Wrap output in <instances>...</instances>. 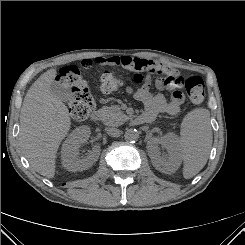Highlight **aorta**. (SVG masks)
<instances>
[{"instance_id":"762f6f07","label":"aorta","mask_w":245,"mask_h":245,"mask_svg":"<svg viewBox=\"0 0 245 245\" xmlns=\"http://www.w3.org/2000/svg\"><path fill=\"white\" fill-rule=\"evenodd\" d=\"M124 138L128 142H135L139 138V133L136 129H127L124 134Z\"/></svg>"}]
</instances>
